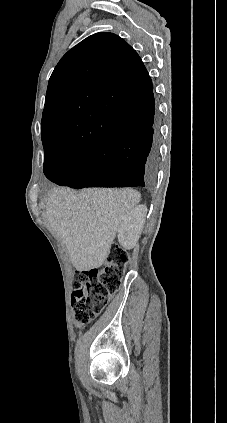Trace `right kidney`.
Wrapping results in <instances>:
<instances>
[{"instance_id":"ca27d5eb","label":"right kidney","mask_w":227,"mask_h":423,"mask_svg":"<svg viewBox=\"0 0 227 423\" xmlns=\"http://www.w3.org/2000/svg\"><path fill=\"white\" fill-rule=\"evenodd\" d=\"M146 213L147 206L140 204L128 211L126 217L121 221L118 229V241L125 249H133L136 245L143 229Z\"/></svg>"}]
</instances>
